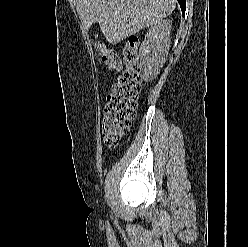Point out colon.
<instances>
[{
  "label": "colon",
  "mask_w": 248,
  "mask_h": 247,
  "mask_svg": "<svg viewBox=\"0 0 248 247\" xmlns=\"http://www.w3.org/2000/svg\"><path fill=\"white\" fill-rule=\"evenodd\" d=\"M98 50L109 69L120 70L121 60L116 52L102 42L98 44ZM123 55L126 69L114 84L103 110L102 136L108 147L117 146L129 132L136 116L137 100L141 91L137 37L128 38Z\"/></svg>",
  "instance_id": "colon-1"
}]
</instances>
